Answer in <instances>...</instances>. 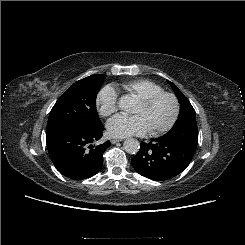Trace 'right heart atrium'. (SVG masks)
Here are the masks:
<instances>
[{"instance_id": "obj_1", "label": "right heart atrium", "mask_w": 245, "mask_h": 245, "mask_svg": "<svg viewBox=\"0 0 245 245\" xmlns=\"http://www.w3.org/2000/svg\"><path fill=\"white\" fill-rule=\"evenodd\" d=\"M96 108L101 116H109L117 110L118 95L111 86H104L97 93Z\"/></svg>"}]
</instances>
